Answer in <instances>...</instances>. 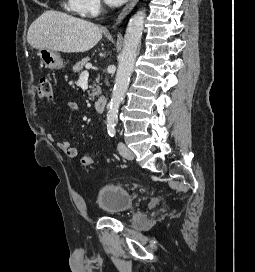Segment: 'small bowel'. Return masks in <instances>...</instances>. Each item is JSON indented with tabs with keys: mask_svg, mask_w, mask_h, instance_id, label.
Here are the masks:
<instances>
[{
	"mask_svg": "<svg viewBox=\"0 0 255 272\" xmlns=\"http://www.w3.org/2000/svg\"><path fill=\"white\" fill-rule=\"evenodd\" d=\"M69 108L73 112H79V106L75 102L69 104ZM48 140L56 145L61 151L65 153L69 158H75L78 156V150L68 141H60L54 134L48 135Z\"/></svg>",
	"mask_w": 255,
	"mask_h": 272,
	"instance_id": "1",
	"label": "small bowel"
}]
</instances>
